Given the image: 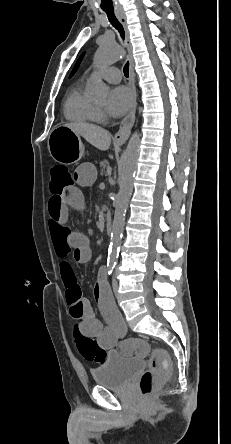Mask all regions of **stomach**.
Segmentation results:
<instances>
[{
    "mask_svg": "<svg viewBox=\"0 0 231 444\" xmlns=\"http://www.w3.org/2000/svg\"><path fill=\"white\" fill-rule=\"evenodd\" d=\"M48 149L52 158L63 164L75 163L84 155L80 136L65 126H58L51 132Z\"/></svg>",
    "mask_w": 231,
    "mask_h": 444,
    "instance_id": "1",
    "label": "stomach"
}]
</instances>
